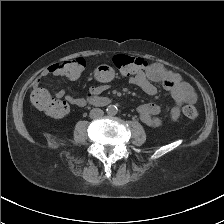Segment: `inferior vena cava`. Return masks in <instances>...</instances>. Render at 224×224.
<instances>
[{
  "label": "inferior vena cava",
  "instance_id": "1",
  "mask_svg": "<svg viewBox=\"0 0 224 224\" xmlns=\"http://www.w3.org/2000/svg\"><path fill=\"white\" fill-rule=\"evenodd\" d=\"M104 115V112L103 110L99 109V108H94L90 111V118L92 119H97V118H100Z\"/></svg>",
  "mask_w": 224,
  "mask_h": 224
}]
</instances>
